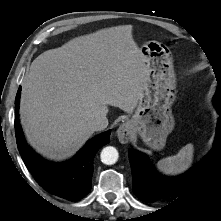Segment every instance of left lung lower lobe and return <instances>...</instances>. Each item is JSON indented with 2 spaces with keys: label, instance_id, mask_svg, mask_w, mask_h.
Instances as JSON below:
<instances>
[{
  "label": "left lung lower lobe",
  "instance_id": "1",
  "mask_svg": "<svg viewBox=\"0 0 221 221\" xmlns=\"http://www.w3.org/2000/svg\"><path fill=\"white\" fill-rule=\"evenodd\" d=\"M219 114L214 148L221 144V101L216 99L213 103ZM214 148L197 164V166L188 170L177 177L163 176L156 171H152L147 165V156L143 153L130 149L128 152L131 170L132 187L134 193L139 199L145 202H155L167 197H175L186 192L193 186L204 174Z\"/></svg>",
  "mask_w": 221,
  "mask_h": 221
}]
</instances>
